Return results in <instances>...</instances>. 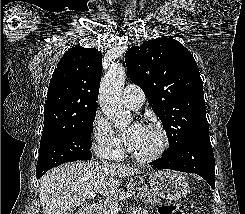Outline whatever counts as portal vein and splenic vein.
<instances>
[{
	"label": "portal vein and splenic vein",
	"mask_w": 245,
	"mask_h": 214,
	"mask_svg": "<svg viewBox=\"0 0 245 214\" xmlns=\"http://www.w3.org/2000/svg\"><path fill=\"white\" fill-rule=\"evenodd\" d=\"M95 192H90L89 193V195H88V197L89 198H93V197H95ZM135 195V192H128V193H126V194H123V195H121L120 196V198H119V200H122V199H124V198H128V197H132V196H134ZM117 209H118V205H114V206H112L111 207V211L113 212V211H117Z\"/></svg>",
	"instance_id": "1"
}]
</instances>
